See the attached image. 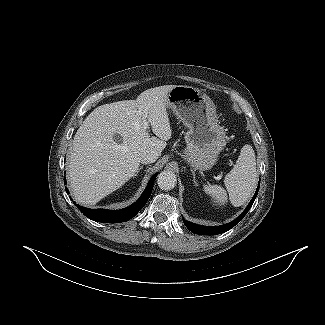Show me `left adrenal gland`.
Segmentation results:
<instances>
[{"instance_id": "1", "label": "left adrenal gland", "mask_w": 325, "mask_h": 325, "mask_svg": "<svg viewBox=\"0 0 325 325\" xmlns=\"http://www.w3.org/2000/svg\"><path fill=\"white\" fill-rule=\"evenodd\" d=\"M191 171H192V175H193V182H194L195 186H198V183H197L196 177H195V172L193 170H191Z\"/></svg>"}]
</instances>
